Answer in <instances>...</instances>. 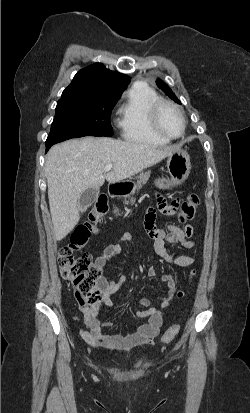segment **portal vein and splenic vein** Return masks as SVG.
Wrapping results in <instances>:
<instances>
[{
	"label": "portal vein and splenic vein",
	"instance_id": "obj_1",
	"mask_svg": "<svg viewBox=\"0 0 250 413\" xmlns=\"http://www.w3.org/2000/svg\"><path fill=\"white\" fill-rule=\"evenodd\" d=\"M111 168H112V164H107L105 166L104 170L107 172V171L111 170Z\"/></svg>",
	"mask_w": 250,
	"mask_h": 413
}]
</instances>
